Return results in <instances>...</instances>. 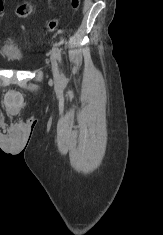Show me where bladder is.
I'll use <instances>...</instances> for the list:
<instances>
[{
  "mask_svg": "<svg viewBox=\"0 0 163 235\" xmlns=\"http://www.w3.org/2000/svg\"><path fill=\"white\" fill-rule=\"evenodd\" d=\"M2 54L9 60H18L22 56V51L18 44L13 40L6 41L2 48Z\"/></svg>",
  "mask_w": 163,
  "mask_h": 235,
  "instance_id": "bladder-1",
  "label": "bladder"
}]
</instances>
